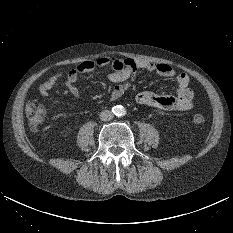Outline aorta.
Here are the masks:
<instances>
[{"mask_svg":"<svg viewBox=\"0 0 233 233\" xmlns=\"http://www.w3.org/2000/svg\"><path fill=\"white\" fill-rule=\"evenodd\" d=\"M115 114H116L117 116H122V115H124V114H125V109H124V107H122V106H117V108L115 109Z\"/></svg>","mask_w":233,"mask_h":233,"instance_id":"1","label":"aorta"}]
</instances>
